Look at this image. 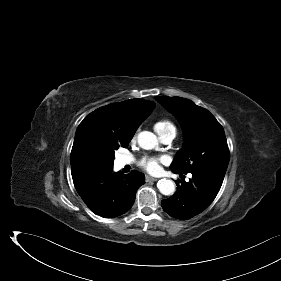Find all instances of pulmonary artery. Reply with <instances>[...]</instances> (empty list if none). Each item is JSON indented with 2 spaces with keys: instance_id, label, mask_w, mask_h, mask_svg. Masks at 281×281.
I'll return each mask as SVG.
<instances>
[{
  "instance_id": "e3ab8cb5",
  "label": "pulmonary artery",
  "mask_w": 281,
  "mask_h": 281,
  "mask_svg": "<svg viewBox=\"0 0 281 281\" xmlns=\"http://www.w3.org/2000/svg\"><path fill=\"white\" fill-rule=\"evenodd\" d=\"M175 137V132H169L165 135H162L161 136V140L164 142V143H170ZM130 163V159L128 158H122L121 159V164L122 165H127Z\"/></svg>"
}]
</instances>
